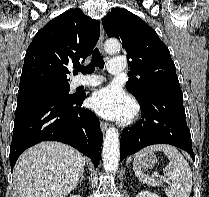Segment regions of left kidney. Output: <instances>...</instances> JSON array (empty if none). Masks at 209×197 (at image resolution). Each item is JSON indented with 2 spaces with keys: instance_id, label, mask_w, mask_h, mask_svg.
<instances>
[{
  "instance_id": "obj_1",
  "label": "left kidney",
  "mask_w": 209,
  "mask_h": 197,
  "mask_svg": "<svg viewBox=\"0 0 209 197\" xmlns=\"http://www.w3.org/2000/svg\"><path fill=\"white\" fill-rule=\"evenodd\" d=\"M136 197H159V196L157 194L152 193V192L143 190L139 194H137Z\"/></svg>"
}]
</instances>
